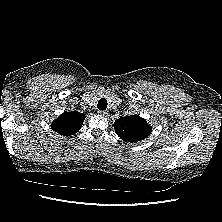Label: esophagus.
I'll list each match as a JSON object with an SVG mask.
<instances>
[{
  "instance_id": "obj_1",
  "label": "esophagus",
  "mask_w": 222,
  "mask_h": 222,
  "mask_svg": "<svg viewBox=\"0 0 222 222\" xmlns=\"http://www.w3.org/2000/svg\"><path fill=\"white\" fill-rule=\"evenodd\" d=\"M98 114L101 115V116H108V112L107 111H98Z\"/></svg>"
}]
</instances>
